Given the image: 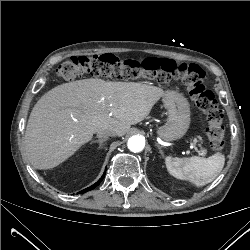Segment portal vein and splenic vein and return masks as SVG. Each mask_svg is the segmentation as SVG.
Returning a JSON list of instances; mask_svg holds the SVG:
<instances>
[{
    "mask_svg": "<svg viewBox=\"0 0 250 250\" xmlns=\"http://www.w3.org/2000/svg\"><path fill=\"white\" fill-rule=\"evenodd\" d=\"M190 147H191V148H194V144H193V143H190Z\"/></svg>",
    "mask_w": 250,
    "mask_h": 250,
    "instance_id": "obj_1",
    "label": "portal vein and splenic vein"
}]
</instances>
